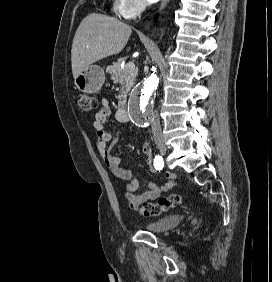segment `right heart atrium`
<instances>
[{
    "label": "right heart atrium",
    "mask_w": 272,
    "mask_h": 282,
    "mask_svg": "<svg viewBox=\"0 0 272 282\" xmlns=\"http://www.w3.org/2000/svg\"><path fill=\"white\" fill-rule=\"evenodd\" d=\"M146 9L145 0H115L113 11L123 20H133Z\"/></svg>",
    "instance_id": "right-heart-atrium-1"
}]
</instances>
